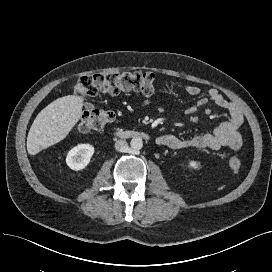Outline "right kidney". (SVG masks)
<instances>
[{"label": "right kidney", "instance_id": "right-kidney-1", "mask_svg": "<svg viewBox=\"0 0 272 272\" xmlns=\"http://www.w3.org/2000/svg\"><path fill=\"white\" fill-rule=\"evenodd\" d=\"M94 147L90 144H79L72 148L66 157V163L72 170H82L90 162Z\"/></svg>", "mask_w": 272, "mask_h": 272}]
</instances>
